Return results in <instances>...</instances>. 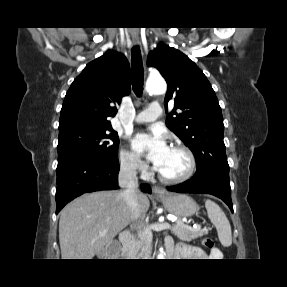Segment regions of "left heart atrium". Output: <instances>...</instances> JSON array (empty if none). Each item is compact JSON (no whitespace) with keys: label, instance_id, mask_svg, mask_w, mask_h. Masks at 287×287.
I'll list each match as a JSON object with an SVG mask.
<instances>
[{"label":"left heart atrium","instance_id":"obj_1","mask_svg":"<svg viewBox=\"0 0 287 287\" xmlns=\"http://www.w3.org/2000/svg\"><path fill=\"white\" fill-rule=\"evenodd\" d=\"M132 146L137 153L146 156L156 169H159L169 150L164 137L157 131L137 134L132 140Z\"/></svg>","mask_w":287,"mask_h":287}]
</instances>
